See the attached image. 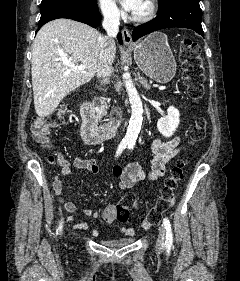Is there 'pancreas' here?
I'll return each instance as SVG.
<instances>
[{
  "instance_id": "pancreas-1",
  "label": "pancreas",
  "mask_w": 240,
  "mask_h": 281,
  "mask_svg": "<svg viewBox=\"0 0 240 281\" xmlns=\"http://www.w3.org/2000/svg\"><path fill=\"white\" fill-rule=\"evenodd\" d=\"M109 108V103L107 99L103 97L95 98V110L101 116L107 114V109Z\"/></svg>"
}]
</instances>
